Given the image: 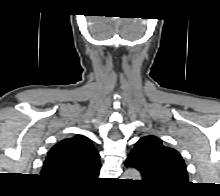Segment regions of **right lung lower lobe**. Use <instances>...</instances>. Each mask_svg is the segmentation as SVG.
Instances as JSON below:
<instances>
[{
  "label": "right lung lower lobe",
  "mask_w": 220,
  "mask_h": 196,
  "mask_svg": "<svg viewBox=\"0 0 220 196\" xmlns=\"http://www.w3.org/2000/svg\"><path fill=\"white\" fill-rule=\"evenodd\" d=\"M54 184H56L58 186H64V187H74L73 185H67V184H60V183H54Z\"/></svg>",
  "instance_id": "obj_1"
}]
</instances>
